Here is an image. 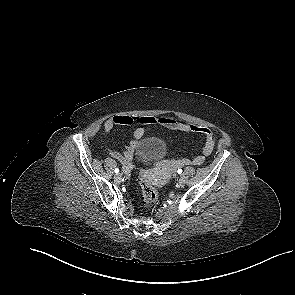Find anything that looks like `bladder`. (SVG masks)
<instances>
[{"label":"bladder","mask_w":295,"mask_h":295,"mask_svg":"<svg viewBox=\"0 0 295 295\" xmlns=\"http://www.w3.org/2000/svg\"><path fill=\"white\" fill-rule=\"evenodd\" d=\"M165 144L162 140L150 137L137 142L136 152L138 157L145 162L160 160L165 154Z\"/></svg>","instance_id":"obj_1"}]
</instances>
